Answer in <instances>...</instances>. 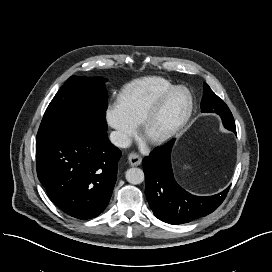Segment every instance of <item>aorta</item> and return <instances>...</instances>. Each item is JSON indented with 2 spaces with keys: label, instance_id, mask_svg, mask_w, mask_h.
<instances>
[{
  "label": "aorta",
  "instance_id": "obj_1",
  "mask_svg": "<svg viewBox=\"0 0 272 272\" xmlns=\"http://www.w3.org/2000/svg\"><path fill=\"white\" fill-rule=\"evenodd\" d=\"M126 180L134 185L144 181V172L140 168H130L126 171Z\"/></svg>",
  "mask_w": 272,
  "mask_h": 272
}]
</instances>
